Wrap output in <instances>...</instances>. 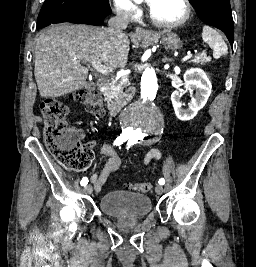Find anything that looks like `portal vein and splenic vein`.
Listing matches in <instances>:
<instances>
[{
	"mask_svg": "<svg viewBox=\"0 0 256 267\" xmlns=\"http://www.w3.org/2000/svg\"><path fill=\"white\" fill-rule=\"evenodd\" d=\"M188 59H191V56L184 55L183 59L179 60V63L185 64L186 60ZM92 68H94V70H97V72H101V74H108V72H112L113 70V68H108V66H102L99 60H96V62H92Z\"/></svg>",
	"mask_w": 256,
	"mask_h": 267,
	"instance_id": "portal-vein-and-splenic-vein-1",
	"label": "portal vein and splenic vein"
}]
</instances>
